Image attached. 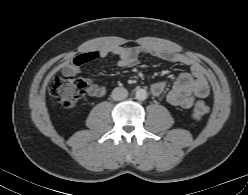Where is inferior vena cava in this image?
Masks as SVG:
<instances>
[{"instance_id": "inferior-vena-cava-1", "label": "inferior vena cava", "mask_w": 248, "mask_h": 195, "mask_svg": "<svg viewBox=\"0 0 248 195\" xmlns=\"http://www.w3.org/2000/svg\"><path fill=\"white\" fill-rule=\"evenodd\" d=\"M128 91L123 87H117L112 91V98L116 101L127 98Z\"/></svg>"}]
</instances>
